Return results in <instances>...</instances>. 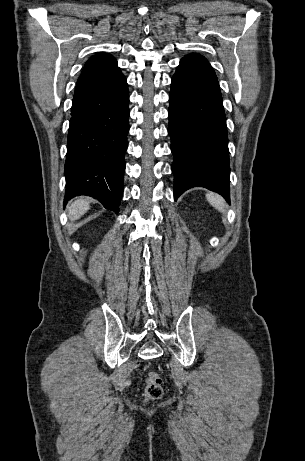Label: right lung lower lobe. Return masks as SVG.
<instances>
[{
    "label": "right lung lower lobe",
    "instance_id": "right-lung-lower-lobe-1",
    "mask_svg": "<svg viewBox=\"0 0 305 461\" xmlns=\"http://www.w3.org/2000/svg\"><path fill=\"white\" fill-rule=\"evenodd\" d=\"M120 72L77 84L72 101L65 162L64 204L78 195L119 212L129 131V94Z\"/></svg>",
    "mask_w": 305,
    "mask_h": 461
}]
</instances>
